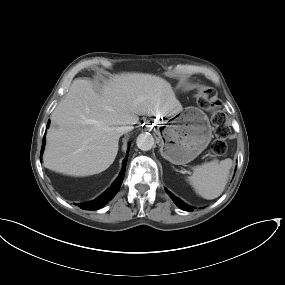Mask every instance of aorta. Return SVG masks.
Listing matches in <instances>:
<instances>
[{"label": "aorta", "mask_w": 285, "mask_h": 285, "mask_svg": "<svg viewBox=\"0 0 285 285\" xmlns=\"http://www.w3.org/2000/svg\"><path fill=\"white\" fill-rule=\"evenodd\" d=\"M137 147L142 151H148L154 146V138L149 133H141L136 140Z\"/></svg>", "instance_id": "762f6f07"}]
</instances>
